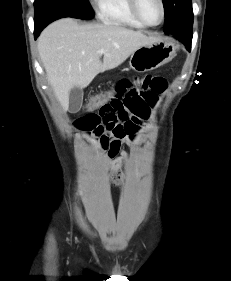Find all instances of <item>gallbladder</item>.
I'll use <instances>...</instances> for the list:
<instances>
[{"label":"gallbladder","mask_w":231,"mask_h":281,"mask_svg":"<svg viewBox=\"0 0 231 281\" xmlns=\"http://www.w3.org/2000/svg\"><path fill=\"white\" fill-rule=\"evenodd\" d=\"M83 100V91L74 87L69 92V111L76 113L80 110Z\"/></svg>","instance_id":"obj_1"}]
</instances>
